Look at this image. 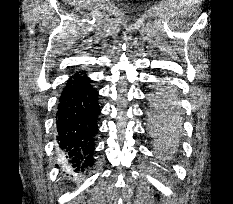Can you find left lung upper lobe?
<instances>
[{"mask_svg": "<svg viewBox=\"0 0 233 204\" xmlns=\"http://www.w3.org/2000/svg\"><path fill=\"white\" fill-rule=\"evenodd\" d=\"M156 103L162 102L165 104V108L161 109L158 107H154L151 109L150 114L154 118H158L160 120L167 121L171 123L173 126H177L180 123V111L177 106L175 97L170 92H161L155 97Z\"/></svg>", "mask_w": 233, "mask_h": 204, "instance_id": "1", "label": "left lung upper lobe"}]
</instances>
